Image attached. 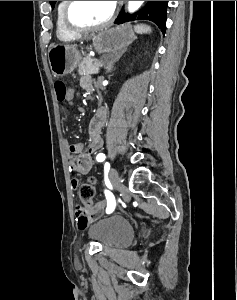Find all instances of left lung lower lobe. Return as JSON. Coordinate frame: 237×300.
I'll list each match as a JSON object with an SVG mask.
<instances>
[{
	"label": "left lung lower lobe",
	"mask_w": 237,
	"mask_h": 300,
	"mask_svg": "<svg viewBox=\"0 0 237 300\" xmlns=\"http://www.w3.org/2000/svg\"><path fill=\"white\" fill-rule=\"evenodd\" d=\"M165 6H167V1H165Z\"/></svg>",
	"instance_id": "obj_1"
}]
</instances>
